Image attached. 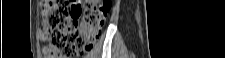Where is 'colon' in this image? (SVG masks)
Instances as JSON below:
<instances>
[{
  "label": "colon",
  "mask_w": 225,
  "mask_h": 58,
  "mask_svg": "<svg viewBox=\"0 0 225 58\" xmlns=\"http://www.w3.org/2000/svg\"><path fill=\"white\" fill-rule=\"evenodd\" d=\"M111 10L108 0H46L40 38L47 58L77 57L92 49Z\"/></svg>",
  "instance_id": "1"
}]
</instances>
